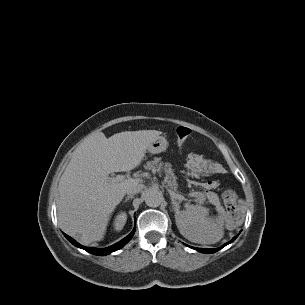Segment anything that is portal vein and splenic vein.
<instances>
[{"label": "portal vein and splenic vein", "instance_id": "portal-vein-and-splenic-vein-1", "mask_svg": "<svg viewBox=\"0 0 305 305\" xmlns=\"http://www.w3.org/2000/svg\"><path fill=\"white\" fill-rule=\"evenodd\" d=\"M124 179H125V176H123V175H117L115 178H109V177H108V181H110V182H119V181H123ZM193 194L195 195L196 193H193ZM173 195H174L177 199H179V200L184 199L183 196H181V195H179V194H176V193H174V192H173Z\"/></svg>", "mask_w": 305, "mask_h": 305}]
</instances>
